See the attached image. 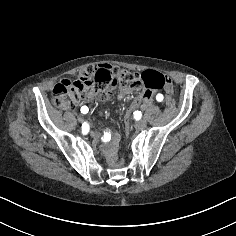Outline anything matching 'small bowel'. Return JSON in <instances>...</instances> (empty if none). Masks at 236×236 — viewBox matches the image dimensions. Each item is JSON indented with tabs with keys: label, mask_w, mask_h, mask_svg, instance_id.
<instances>
[{
	"label": "small bowel",
	"mask_w": 236,
	"mask_h": 236,
	"mask_svg": "<svg viewBox=\"0 0 236 236\" xmlns=\"http://www.w3.org/2000/svg\"><path fill=\"white\" fill-rule=\"evenodd\" d=\"M141 84H130L121 85L120 91L118 93V98L120 100L125 99L130 94L137 92L140 89ZM171 91V88L167 89ZM111 98V93L106 94V99ZM144 107H149L152 104L151 95L144 98L141 102ZM102 152L110 167L114 169H119L123 161L117 158V148L120 142V135L115 129H106L102 134Z\"/></svg>",
	"instance_id": "obj_1"
}]
</instances>
